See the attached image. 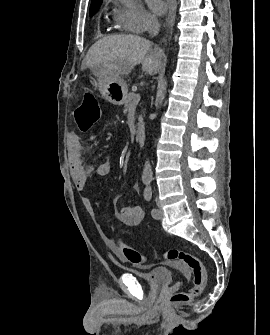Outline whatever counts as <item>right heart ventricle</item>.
Instances as JSON below:
<instances>
[{"mask_svg":"<svg viewBox=\"0 0 270 335\" xmlns=\"http://www.w3.org/2000/svg\"><path fill=\"white\" fill-rule=\"evenodd\" d=\"M114 22L116 25H119L118 23V19H117V16L115 15L114 18H113ZM120 26V25H119ZM161 78H164V82H167L168 81V74H164V77H161Z\"/></svg>","mask_w":270,"mask_h":335,"instance_id":"right-heart-ventricle-1","label":"right heart ventricle"}]
</instances>
